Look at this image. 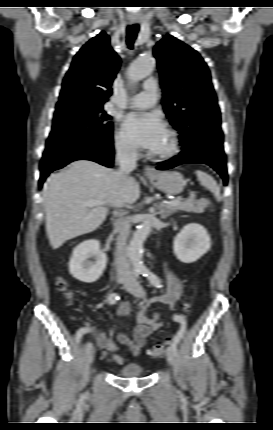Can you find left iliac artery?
<instances>
[{"label": "left iliac artery", "mask_w": 273, "mask_h": 430, "mask_svg": "<svg viewBox=\"0 0 273 430\" xmlns=\"http://www.w3.org/2000/svg\"><path fill=\"white\" fill-rule=\"evenodd\" d=\"M141 274L143 276L147 277L148 280L150 281V283L152 285H154L155 287H157V288L162 287L160 279L158 278V276H156L154 273H152L148 269L142 270ZM174 320H177L179 322V332L173 338L172 343H171V347H172L173 351L176 353L178 343L180 342L183 335L187 332V326H186V322L184 321L185 317L182 314H179L177 317H174Z\"/></svg>", "instance_id": "obj_1"}]
</instances>
